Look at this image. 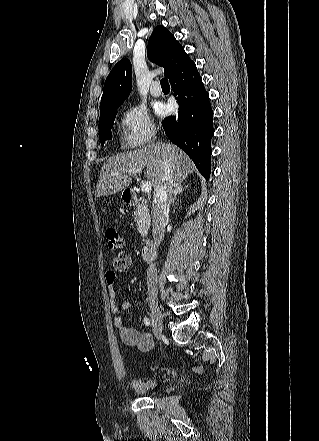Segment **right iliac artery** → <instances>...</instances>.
<instances>
[{
	"label": "right iliac artery",
	"instance_id": "right-iliac-artery-1",
	"mask_svg": "<svg viewBox=\"0 0 319 441\" xmlns=\"http://www.w3.org/2000/svg\"><path fill=\"white\" fill-rule=\"evenodd\" d=\"M143 321H144V324H145L146 326H149V325H150V320H149V318L145 317Z\"/></svg>",
	"mask_w": 319,
	"mask_h": 441
}]
</instances>
